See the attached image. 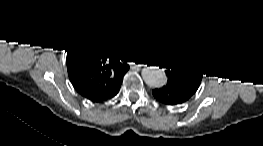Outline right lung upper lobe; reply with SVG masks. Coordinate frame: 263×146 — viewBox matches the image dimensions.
<instances>
[{
  "label": "right lung upper lobe",
  "instance_id": "obj_1",
  "mask_svg": "<svg viewBox=\"0 0 263 146\" xmlns=\"http://www.w3.org/2000/svg\"><path fill=\"white\" fill-rule=\"evenodd\" d=\"M113 47L95 28H84L70 41L67 70L74 89L83 97L100 102L113 96L129 66L114 58Z\"/></svg>",
  "mask_w": 263,
  "mask_h": 146
}]
</instances>
